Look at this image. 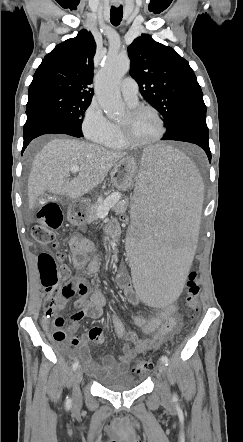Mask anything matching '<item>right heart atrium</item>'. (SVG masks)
Segmentation results:
<instances>
[{
    "instance_id": "1",
    "label": "right heart atrium",
    "mask_w": 243,
    "mask_h": 442,
    "mask_svg": "<svg viewBox=\"0 0 243 442\" xmlns=\"http://www.w3.org/2000/svg\"><path fill=\"white\" fill-rule=\"evenodd\" d=\"M81 129L88 140L97 143H101L111 133L112 123L96 101H92L85 110Z\"/></svg>"
}]
</instances>
